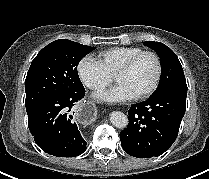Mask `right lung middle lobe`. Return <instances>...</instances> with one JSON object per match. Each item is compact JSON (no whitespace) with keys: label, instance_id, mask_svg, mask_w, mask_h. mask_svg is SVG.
<instances>
[{"label":"right lung middle lobe","instance_id":"right-lung-middle-lobe-1","mask_svg":"<svg viewBox=\"0 0 209 179\" xmlns=\"http://www.w3.org/2000/svg\"><path fill=\"white\" fill-rule=\"evenodd\" d=\"M94 49L66 39L44 47L32 61L25 79L27 113L48 98L84 89L77 65Z\"/></svg>","mask_w":209,"mask_h":179}]
</instances>
